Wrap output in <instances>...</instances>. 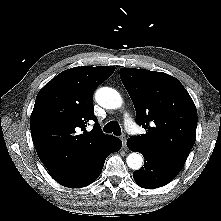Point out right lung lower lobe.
<instances>
[{
	"instance_id": "98d812e1",
	"label": "right lung lower lobe",
	"mask_w": 221,
	"mask_h": 221,
	"mask_svg": "<svg viewBox=\"0 0 221 221\" xmlns=\"http://www.w3.org/2000/svg\"><path fill=\"white\" fill-rule=\"evenodd\" d=\"M121 146V140L113 137L107 144L92 153L71 172L56 179V181L63 186L71 188H81L89 185L100 175L107 156L120 150Z\"/></svg>"
}]
</instances>
